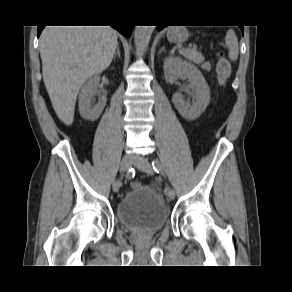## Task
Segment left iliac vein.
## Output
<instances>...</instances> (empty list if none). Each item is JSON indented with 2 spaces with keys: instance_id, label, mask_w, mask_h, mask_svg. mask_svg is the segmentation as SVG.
Instances as JSON below:
<instances>
[{
  "instance_id": "left-iliac-vein-1",
  "label": "left iliac vein",
  "mask_w": 292,
  "mask_h": 292,
  "mask_svg": "<svg viewBox=\"0 0 292 292\" xmlns=\"http://www.w3.org/2000/svg\"><path fill=\"white\" fill-rule=\"evenodd\" d=\"M133 164L136 166L139 170L147 173V174H153V167L150 164V162L142 157V156H134L133 157ZM169 200L175 199V192L174 190L170 189L167 193H165Z\"/></svg>"
}]
</instances>
